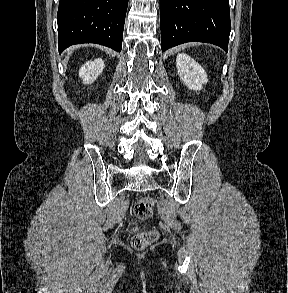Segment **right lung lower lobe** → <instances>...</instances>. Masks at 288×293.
<instances>
[{"label":"right lung lower lobe","mask_w":288,"mask_h":293,"mask_svg":"<svg viewBox=\"0 0 288 293\" xmlns=\"http://www.w3.org/2000/svg\"><path fill=\"white\" fill-rule=\"evenodd\" d=\"M128 0H60L58 48L96 43L120 52Z\"/></svg>","instance_id":"right-lung-lower-lobe-1"}]
</instances>
